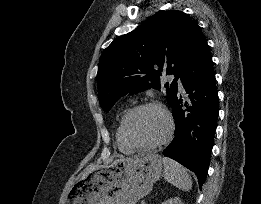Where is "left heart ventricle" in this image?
Wrapping results in <instances>:
<instances>
[{"mask_svg": "<svg viewBox=\"0 0 261 204\" xmlns=\"http://www.w3.org/2000/svg\"><path fill=\"white\" fill-rule=\"evenodd\" d=\"M126 129L133 142L146 145L161 138L165 131V121L159 111L146 108L129 119Z\"/></svg>", "mask_w": 261, "mask_h": 204, "instance_id": "obj_1", "label": "left heart ventricle"}]
</instances>
